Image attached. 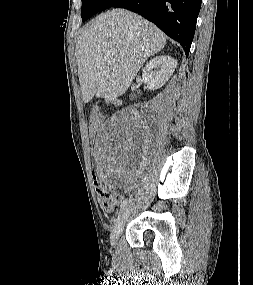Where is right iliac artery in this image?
I'll return each mask as SVG.
<instances>
[{
	"instance_id": "right-iliac-artery-1",
	"label": "right iliac artery",
	"mask_w": 253,
	"mask_h": 285,
	"mask_svg": "<svg viewBox=\"0 0 253 285\" xmlns=\"http://www.w3.org/2000/svg\"><path fill=\"white\" fill-rule=\"evenodd\" d=\"M128 202H129L128 199L123 200V202L121 203V206H120V212L126 208Z\"/></svg>"
}]
</instances>
